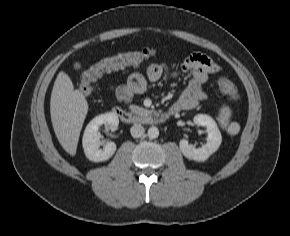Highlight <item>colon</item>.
<instances>
[{
    "instance_id": "5ec220e1",
    "label": "colon",
    "mask_w": 290,
    "mask_h": 236,
    "mask_svg": "<svg viewBox=\"0 0 290 236\" xmlns=\"http://www.w3.org/2000/svg\"><path fill=\"white\" fill-rule=\"evenodd\" d=\"M155 53L154 48H144L138 51L122 52L105 57L83 72L79 89L83 94L89 95L93 92V83L103 73L139 64L153 57ZM219 85L229 101H237L240 98L238 89L229 79L221 78Z\"/></svg>"
}]
</instances>
